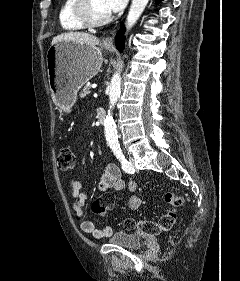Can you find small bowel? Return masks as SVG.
<instances>
[{
    "label": "small bowel",
    "instance_id": "c3829d8e",
    "mask_svg": "<svg viewBox=\"0 0 240 281\" xmlns=\"http://www.w3.org/2000/svg\"><path fill=\"white\" fill-rule=\"evenodd\" d=\"M98 187L101 192H108L110 190L121 192L127 187L131 193L128 198V207L130 209H137L142 203V200L137 193L136 182L131 178L127 181L123 180L120 169L113 163H110L105 167L99 180ZM69 190L72 198L74 199L72 203V211L73 214L80 219L81 230L85 233L91 234L97 239L110 236L112 233V229L110 227L97 228L92 221L85 219L84 204L87 196L83 191L80 179L72 178L69 182Z\"/></svg>",
    "mask_w": 240,
    "mask_h": 281
}]
</instances>
